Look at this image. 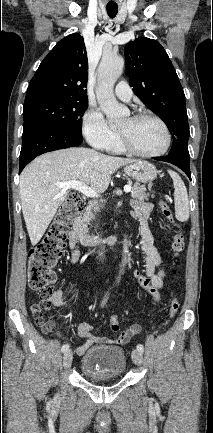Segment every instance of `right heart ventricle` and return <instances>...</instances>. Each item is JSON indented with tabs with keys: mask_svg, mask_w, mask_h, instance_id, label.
<instances>
[{
	"mask_svg": "<svg viewBox=\"0 0 213 433\" xmlns=\"http://www.w3.org/2000/svg\"><path fill=\"white\" fill-rule=\"evenodd\" d=\"M108 150H110L114 153H123L124 152V150L122 149V147L119 143L118 136L116 137V139L114 140V142L112 143V145L109 147Z\"/></svg>",
	"mask_w": 213,
	"mask_h": 433,
	"instance_id": "e07e8e85",
	"label": "right heart ventricle"
}]
</instances>
